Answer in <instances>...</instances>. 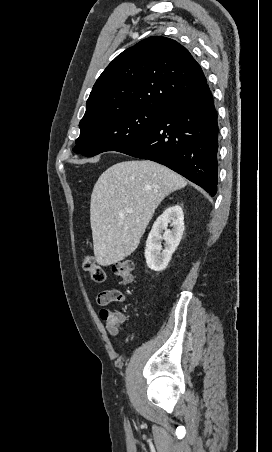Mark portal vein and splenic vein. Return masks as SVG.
<instances>
[{
	"mask_svg": "<svg viewBox=\"0 0 272 452\" xmlns=\"http://www.w3.org/2000/svg\"><path fill=\"white\" fill-rule=\"evenodd\" d=\"M131 211H132V208H128V209H127V212H131Z\"/></svg>",
	"mask_w": 272,
	"mask_h": 452,
	"instance_id": "portal-vein-and-splenic-vein-1",
	"label": "portal vein and splenic vein"
}]
</instances>
